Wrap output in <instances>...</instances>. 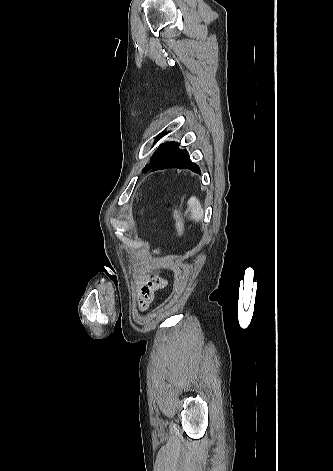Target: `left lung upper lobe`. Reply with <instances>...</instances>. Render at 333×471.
I'll return each mask as SVG.
<instances>
[{
	"label": "left lung upper lobe",
	"mask_w": 333,
	"mask_h": 471,
	"mask_svg": "<svg viewBox=\"0 0 333 471\" xmlns=\"http://www.w3.org/2000/svg\"><path fill=\"white\" fill-rule=\"evenodd\" d=\"M179 151L181 150L179 148V144L176 142L162 144L158 148V151L154 154L152 158V163L147 165L143 169V172L146 173L150 168H152V172L169 168V161Z\"/></svg>",
	"instance_id": "left-lung-upper-lobe-1"
}]
</instances>
